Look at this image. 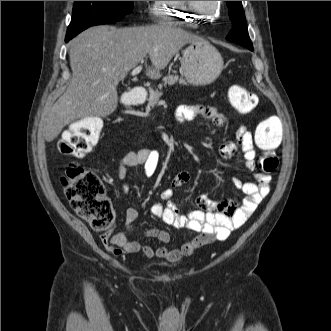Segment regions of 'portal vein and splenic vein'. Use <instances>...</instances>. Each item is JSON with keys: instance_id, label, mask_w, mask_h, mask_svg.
<instances>
[{"instance_id": "obj_1", "label": "portal vein and splenic vein", "mask_w": 331, "mask_h": 331, "mask_svg": "<svg viewBox=\"0 0 331 331\" xmlns=\"http://www.w3.org/2000/svg\"><path fill=\"white\" fill-rule=\"evenodd\" d=\"M141 63H143V61H141ZM141 70H142V66H141V65H140V66H137L135 69L132 70L131 75H132V76H135V75H137L138 73H140Z\"/></svg>"}]
</instances>
